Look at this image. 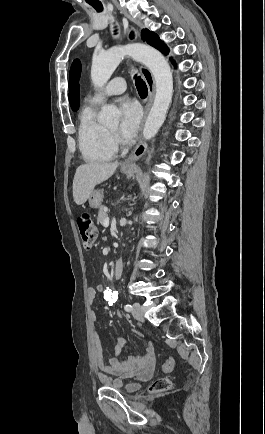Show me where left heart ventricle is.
Wrapping results in <instances>:
<instances>
[{"instance_id":"left-heart-ventricle-1","label":"left heart ventricle","mask_w":265,"mask_h":434,"mask_svg":"<svg viewBox=\"0 0 265 434\" xmlns=\"http://www.w3.org/2000/svg\"><path fill=\"white\" fill-rule=\"evenodd\" d=\"M116 126H117V125H113V126H111L110 128H111V129H115V128H116Z\"/></svg>"}]
</instances>
